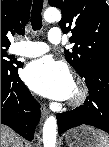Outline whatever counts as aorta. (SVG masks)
Segmentation results:
<instances>
[{"label":"aorta","mask_w":109,"mask_h":147,"mask_svg":"<svg viewBox=\"0 0 109 147\" xmlns=\"http://www.w3.org/2000/svg\"><path fill=\"white\" fill-rule=\"evenodd\" d=\"M46 22H57L61 19V12L54 7L47 8L44 12ZM57 135V120L54 116L46 119L43 127V144L44 147H55Z\"/></svg>","instance_id":"762f6f07"}]
</instances>
